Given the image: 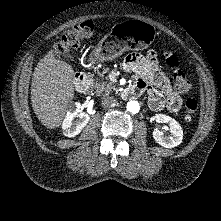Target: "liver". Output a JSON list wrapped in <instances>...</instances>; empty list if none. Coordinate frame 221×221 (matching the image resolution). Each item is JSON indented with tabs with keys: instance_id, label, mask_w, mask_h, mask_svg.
I'll use <instances>...</instances> for the list:
<instances>
[{
	"instance_id": "1",
	"label": "liver",
	"mask_w": 221,
	"mask_h": 221,
	"mask_svg": "<svg viewBox=\"0 0 221 221\" xmlns=\"http://www.w3.org/2000/svg\"><path fill=\"white\" fill-rule=\"evenodd\" d=\"M74 70L53 50L38 62L31 84L32 108L47 128H58L74 98Z\"/></svg>"
}]
</instances>
